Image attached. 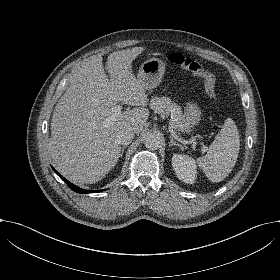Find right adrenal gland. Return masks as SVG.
<instances>
[{
    "instance_id": "2a0ac1e0",
    "label": "right adrenal gland",
    "mask_w": 280,
    "mask_h": 280,
    "mask_svg": "<svg viewBox=\"0 0 280 280\" xmlns=\"http://www.w3.org/2000/svg\"><path fill=\"white\" fill-rule=\"evenodd\" d=\"M124 149H125V146H123V147L121 148V154H120V157H122V156H123Z\"/></svg>"
}]
</instances>
